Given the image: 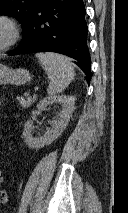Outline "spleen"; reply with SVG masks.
Returning <instances> with one entry per match:
<instances>
[{"label": "spleen", "instance_id": "3e777b00", "mask_svg": "<svg viewBox=\"0 0 128 213\" xmlns=\"http://www.w3.org/2000/svg\"><path fill=\"white\" fill-rule=\"evenodd\" d=\"M50 79L47 93L55 96L61 93L75 76L73 64L68 57L56 53H36Z\"/></svg>", "mask_w": 128, "mask_h": 213}]
</instances>
